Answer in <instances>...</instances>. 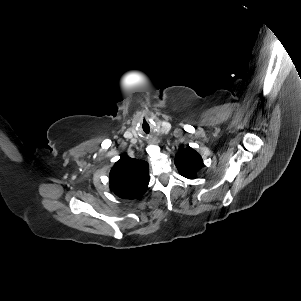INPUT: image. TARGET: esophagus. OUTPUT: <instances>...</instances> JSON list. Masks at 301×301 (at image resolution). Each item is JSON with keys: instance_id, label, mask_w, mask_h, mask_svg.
Wrapping results in <instances>:
<instances>
[{"instance_id": "obj_1", "label": "esophagus", "mask_w": 301, "mask_h": 301, "mask_svg": "<svg viewBox=\"0 0 301 301\" xmlns=\"http://www.w3.org/2000/svg\"><path fill=\"white\" fill-rule=\"evenodd\" d=\"M148 143L151 144V145H155L156 144V140L155 139H150L148 141Z\"/></svg>"}]
</instances>
